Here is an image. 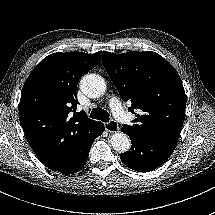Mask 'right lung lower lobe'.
Listing matches in <instances>:
<instances>
[{
    "label": "right lung lower lobe",
    "instance_id": "1",
    "mask_svg": "<svg viewBox=\"0 0 215 215\" xmlns=\"http://www.w3.org/2000/svg\"><path fill=\"white\" fill-rule=\"evenodd\" d=\"M104 129V125L99 121L91 124L86 130L70 140L68 158L64 164H58L53 168L46 166L66 175L81 170L86 164L92 142L103 133Z\"/></svg>",
    "mask_w": 215,
    "mask_h": 215
}]
</instances>
